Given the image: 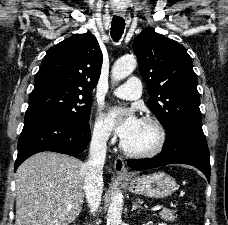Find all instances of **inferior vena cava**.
<instances>
[{
    "mask_svg": "<svg viewBox=\"0 0 228 225\" xmlns=\"http://www.w3.org/2000/svg\"><path fill=\"white\" fill-rule=\"evenodd\" d=\"M106 141L104 131L94 133L90 143L88 161L83 165L86 171L84 177V193L92 215L97 211L103 193L102 173L106 159Z\"/></svg>",
    "mask_w": 228,
    "mask_h": 225,
    "instance_id": "obj_1",
    "label": "inferior vena cava"
}]
</instances>
